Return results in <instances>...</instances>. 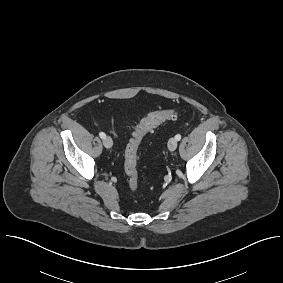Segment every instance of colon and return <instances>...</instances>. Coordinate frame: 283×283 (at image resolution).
<instances>
[{
  "mask_svg": "<svg viewBox=\"0 0 283 283\" xmlns=\"http://www.w3.org/2000/svg\"><path fill=\"white\" fill-rule=\"evenodd\" d=\"M174 110L160 109L147 114L134 127L124 153V171L128 178L129 188L137 190L140 186L138 179V151L143 138L152 130L172 118Z\"/></svg>",
  "mask_w": 283,
  "mask_h": 283,
  "instance_id": "1",
  "label": "colon"
}]
</instances>
